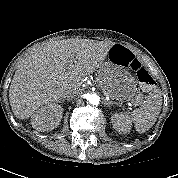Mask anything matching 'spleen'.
<instances>
[{
	"label": "spleen",
	"instance_id": "spleen-1",
	"mask_svg": "<svg viewBox=\"0 0 178 178\" xmlns=\"http://www.w3.org/2000/svg\"><path fill=\"white\" fill-rule=\"evenodd\" d=\"M161 105V92L157 86H152L142 106L130 114L132 121H134L136 131L143 133L154 125L160 113Z\"/></svg>",
	"mask_w": 178,
	"mask_h": 178
}]
</instances>
